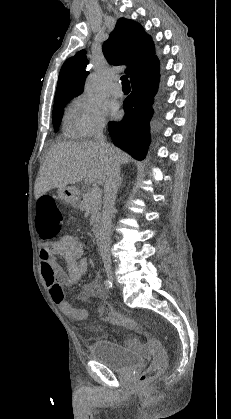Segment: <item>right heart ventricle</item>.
I'll use <instances>...</instances> for the list:
<instances>
[{
  "instance_id": "right-heart-ventricle-1",
  "label": "right heart ventricle",
  "mask_w": 231,
  "mask_h": 419,
  "mask_svg": "<svg viewBox=\"0 0 231 419\" xmlns=\"http://www.w3.org/2000/svg\"><path fill=\"white\" fill-rule=\"evenodd\" d=\"M69 114V113H68ZM64 133L66 136L68 137H74L75 134L73 132V128L71 126L70 120H69V115H67L66 119H65V123H64Z\"/></svg>"
}]
</instances>
